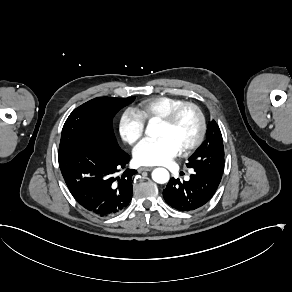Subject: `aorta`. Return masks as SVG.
I'll return each mask as SVG.
<instances>
[{"instance_id": "762f6f07", "label": "aorta", "mask_w": 292, "mask_h": 292, "mask_svg": "<svg viewBox=\"0 0 292 292\" xmlns=\"http://www.w3.org/2000/svg\"><path fill=\"white\" fill-rule=\"evenodd\" d=\"M145 133L150 137H157L156 124L149 122L146 126ZM152 179L158 184H165L169 181V172L164 168H156L152 172Z\"/></svg>"}]
</instances>
